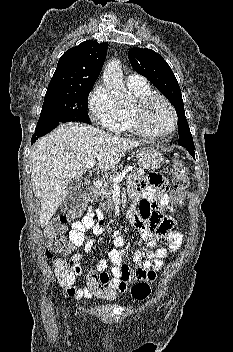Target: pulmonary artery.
Returning <instances> with one entry per match:
<instances>
[{"label":"pulmonary artery","mask_w":233,"mask_h":352,"mask_svg":"<svg viewBox=\"0 0 233 352\" xmlns=\"http://www.w3.org/2000/svg\"><path fill=\"white\" fill-rule=\"evenodd\" d=\"M126 83L129 87L144 86L146 85V79L139 74H130L126 78Z\"/></svg>","instance_id":"obj_1"}]
</instances>
